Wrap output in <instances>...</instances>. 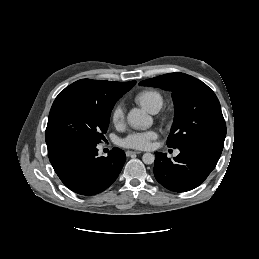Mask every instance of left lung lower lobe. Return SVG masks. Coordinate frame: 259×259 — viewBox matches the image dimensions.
<instances>
[{
  "instance_id": "obj_1",
  "label": "left lung lower lobe",
  "mask_w": 259,
  "mask_h": 259,
  "mask_svg": "<svg viewBox=\"0 0 259 259\" xmlns=\"http://www.w3.org/2000/svg\"><path fill=\"white\" fill-rule=\"evenodd\" d=\"M223 140L201 138L183 144L180 154L173 160L166 154L156 152L154 175L165 188L185 192L199 186L215 168Z\"/></svg>"
}]
</instances>
